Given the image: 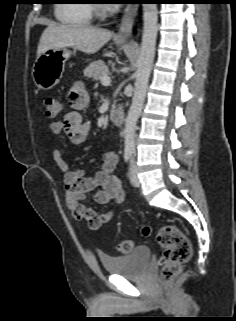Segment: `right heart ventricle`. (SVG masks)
<instances>
[{"label":"right heart ventricle","instance_id":"e07e8e85","mask_svg":"<svg viewBox=\"0 0 236 321\" xmlns=\"http://www.w3.org/2000/svg\"><path fill=\"white\" fill-rule=\"evenodd\" d=\"M89 1L63 0L55 8L56 19L69 26L89 25L93 14V8Z\"/></svg>","mask_w":236,"mask_h":321}]
</instances>
